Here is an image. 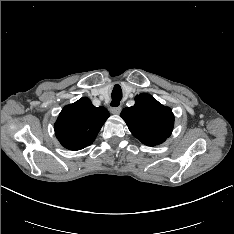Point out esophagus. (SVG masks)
Returning <instances> with one entry per match:
<instances>
[{"mask_svg": "<svg viewBox=\"0 0 234 234\" xmlns=\"http://www.w3.org/2000/svg\"><path fill=\"white\" fill-rule=\"evenodd\" d=\"M121 110H122V108L120 106H118V107H111L110 108V112L112 114H115V115L119 114L121 112Z\"/></svg>", "mask_w": 234, "mask_h": 234, "instance_id": "obj_1", "label": "esophagus"}]
</instances>
